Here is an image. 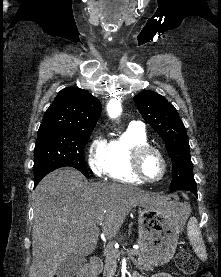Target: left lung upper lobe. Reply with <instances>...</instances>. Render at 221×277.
I'll return each instance as SVG.
<instances>
[{"mask_svg": "<svg viewBox=\"0 0 221 277\" xmlns=\"http://www.w3.org/2000/svg\"><path fill=\"white\" fill-rule=\"evenodd\" d=\"M134 102L144 119L165 141L172 160L170 190H189L191 186H196L186 129L175 107L152 91L137 94Z\"/></svg>", "mask_w": 221, "mask_h": 277, "instance_id": "5c2ea615", "label": "left lung upper lobe"}]
</instances>
